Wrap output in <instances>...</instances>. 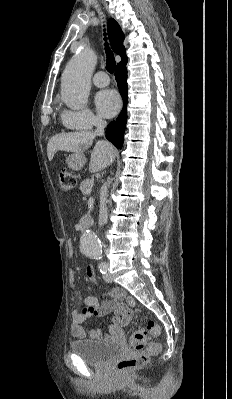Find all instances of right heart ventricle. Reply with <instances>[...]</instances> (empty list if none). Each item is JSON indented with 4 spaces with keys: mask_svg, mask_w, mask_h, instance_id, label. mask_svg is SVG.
<instances>
[{
    "mask_svg": "<svg viewBox=\"0 0 232 399\" xmlns=\"http://www.w3.org/2000/svg\"><path fill=\"white\" fill-rule=\"evenodd\" d=\"M68 129H70V130H79V129H76V128H70V127H67Z\"/></svg>",
    "mask_w": 232,
    "mask_h": 399,
    "instance_id": "obj_1",
    "label": "right heart ventricle"
}]
</instances>
